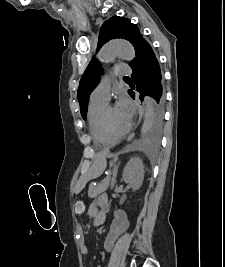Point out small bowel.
Instances as JSON below:
<instances>
[{
	"label": "small bowel",
	"mask_w": 225,
	"mask_h": 267,
	"mask_svg": "<svg viewBox=\"0 0 225 267\" xmlns=\"http://www.w3.org/2000/svg\"><path fill=\"white\" fill-rule=\"evenodd\" d=\"M109 211V205L106 197L101 196L96 199L89 207L88 214L94 219H96L99 215H104L105 212ZM128 225V220L123 211H115L114 212V220L111 224L110 230L105 238L104 246L106 250L111 251L114 248V243L119 235L126 229ZM88 252V245L84 241L81 246V253L86 255ZM100 267V266H97Z\"/></svg>",
	"instance_id": "1"
}]
</instances>
